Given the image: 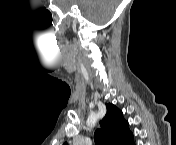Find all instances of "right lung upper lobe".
Segmentation results:
<instances>
[{
	"mask_svg": "<svg viewBox=\"0 0 176 145\" xmlns=\"http://www.w3.org/2000/svg\"><path fill=\"white\" fill-rule=\"evenodd\" d=\"M107 114L100 121L101 129L94 134L97 145H133V134L122 112L113 104H106ZM66 144V143H65Z\"/></svg>",
	"mask_w": 176,
	"mask_h": 145,
	"instance_id": "right-lung-upper-lobe-1",
	"label": "right lung upper lobe"
}]
</instances>
